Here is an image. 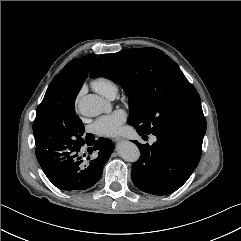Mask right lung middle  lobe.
<instances>
[{
	"instance_id": "right-lung-middle-lobe-1",
	"label": "right lung middle lobe",
	"mask_w": 241,
	"mask_h": 241,
	"mask_svg": "<svg viewBox=\"0 0 241 241\" xmlns=\"http://www.w3.org/2000/svg\"><path fill=\"white\" fill-rule=\"evenodd\" d=\"M74 104L59 107L43 99L37 107L33 124L35 138L44 144L63 145L66 148L81 147L88 140L84 125L76 115Z\"/></svg>"
}]
</instances>
